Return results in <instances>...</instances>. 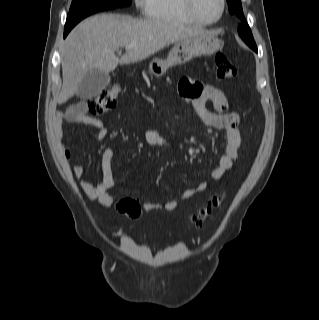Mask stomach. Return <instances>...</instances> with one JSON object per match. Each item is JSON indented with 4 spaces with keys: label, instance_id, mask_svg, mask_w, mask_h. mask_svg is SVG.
<instances>
[{
    "label": "stomach",
    "instance_id": "obj_1",
    "mask_svg": "<svg viewBox=\"0 0 319 320\" xmlns=\"http://www.w3.org/2000/svg\"><path fill=\"white\" fill-rule=\"evenodd\" d=\"M221 45L222 41L209 32L179 40L170 50L166 60H152L149 65V73L153 77L160 78L169 67L184 64L201 55H212L221 48Z\"/></svg>",
    "mask_w": 319,
    "mask_h": 320
}]
</instances>
